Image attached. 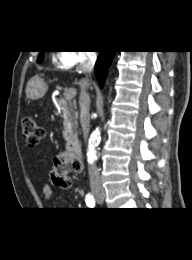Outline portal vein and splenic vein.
<instances>
[{
    "label": "portal vein and splenic vein",
    "instance_id": "18ae733b",
    "mask_svg": "<svg viewBox=\"0 0 192 260\" xmlns=\"http://www.w3.org/2000/svg\"><path fill=\"white\" fill-rule=\"evenodd\" d=\"M76 95V90L74 88H70L64 93V97L66 100H71Z\"/></svg>",
    "mask_w": 192,
    "mask_h": 260
}]
</instances>
